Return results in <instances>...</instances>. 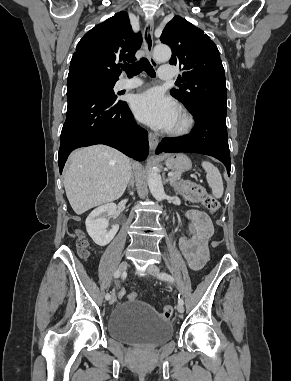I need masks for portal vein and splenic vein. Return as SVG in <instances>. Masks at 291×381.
Returning <instances> with one entry per match:
<instances>
[{"instance_id": "obj_1", "label": "portal vein and splenic vein", "mask_w": 291, "mask_h": 381, "mask_svg": "<svg viewBox=\"0 0 291 381\" xmlns=\"http://www.w3.org/2000/svg\"><path fill=\"white\" fill-rule=\"evenodd\" d=\"M172 176H173V173H172V172L168 173V177H169V178L172 177Z\"/></svg>"}]
</instances>
